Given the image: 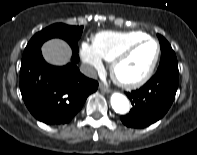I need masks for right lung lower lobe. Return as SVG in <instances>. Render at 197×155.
<instances>
[{
    "label": "right lung lower lobe",
    "mask_w": 197,
    "mask_h": 155,
    "mask_svg": "<svg viewBox=\"0 0 197 155\" xmlns=\"http://www.w3.org/2000/svg\"><path fill=\"white\" fill-rule=\"evenodd\" d=\"M78 59L77 52H73L71 63L52 66L45 62L40 50L21 62L20 91L37 120L49 125L66 124L97 90V81L80 73L75 64Z\"/></svg>",
    "instance_id": "obj_1"
}]
</instances>
